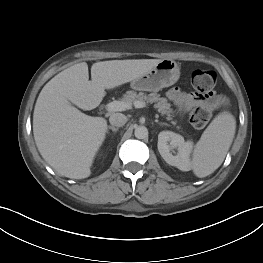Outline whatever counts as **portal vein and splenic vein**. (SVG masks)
I'll return each instance as SVG.
<instances>
[{
  "label": "portal vein and splenic vein",
  "instance_id": "portal-vein-and-splenic-vein-1",
  "mask_svg": "<svg viewBox=\"0 0 263 263\" xmlns=\"http://www.w3.org/2000/svg\"><path fill=\"white\" fill-rule=\"evenodd\" d=\"M134 106L136 108H143L146 107V103L141 101H135ZM126 109H131V105L123 101H113L106 105V110L108 112L124 111Z\"/></svg>",
  "mask_w": 263,
  "mask_h": 263
}]
</instances>
